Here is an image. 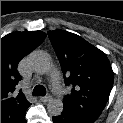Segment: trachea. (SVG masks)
Returning <instances> with one entry per match:
<instances>
[{"instance_id":"3493384b","label":"trachea","mask_w":123,"mask_h":123,"mask_svg":"<svg viewBox=\"0 0 123 123\" xmlns=\"http://www.w3.org/2000/svg\"><path fill=\"white\" fill-rule=\"evenodd\" d=\"M33 94L37 96H45L46 94V89L42 85H37L33 89Z\"/></svg>"}]
</instances>
